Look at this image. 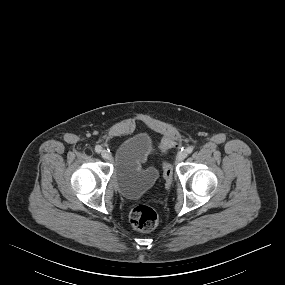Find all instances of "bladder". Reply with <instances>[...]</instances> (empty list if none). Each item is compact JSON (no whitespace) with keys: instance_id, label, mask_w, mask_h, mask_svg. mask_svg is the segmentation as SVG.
I'll use <instances>...</instances> for the list:
<instances>
[{"instance_id":"31cf9c89","label":"bladder","mask_w":285,"mask_h":285,"mask_svg":"<svg viewBox=\"0 0 285 285\" xmlns=\"http://www.w3.org/2000/svg\"><path fill=\"white\" fill-rule=\"evenodd\" d=\"M154 146V138L143 131L124 137L117 145L113 155L112 180L121 196L129 199L137 198L157 182L158 170L155 167L144 166Z\"/></svg>"}]
</instances>
